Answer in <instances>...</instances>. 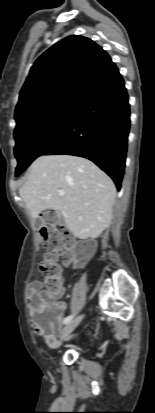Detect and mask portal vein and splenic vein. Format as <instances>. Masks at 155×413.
Segmentation results:
<instances>
[{
    "mask_svg": "<svg viewBox=\"0 0 155 413\" xmlns=\"http://www.w3.org/2000/svg\"><path fill=\"white\" fill-rule=\"evenodd\" d=\"M59 194H60L61 196H63V195L65 194V192H64L63 190H60V191H59Z\"/></svg>",
    "mask_w": 155,
    "mask_h": 413,
    "instance_id": "obj_1",
    "label": "portal vein and splenic vein"
}]
</instances>
